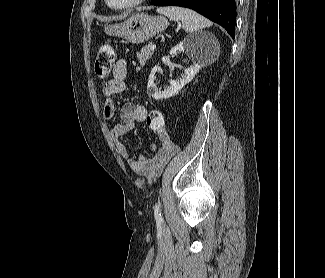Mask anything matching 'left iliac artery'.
I'll use <instances>...</instances> for the list:
<instances>
[{"mask_svg":"<svg viewBox=\"0 0 325 278\" xmlns=\"http://www.w3.org/2000/svg\"><path fill=\"white\" fill-rule=\"evenodd\" d=\"M154 217L156 221H162L161 213H160V202H158L154 207Z\"/></svg>","mask_w":325,"mask_h":278,"instance_id":"1","label":"left iliac artery"}]
</instances>
